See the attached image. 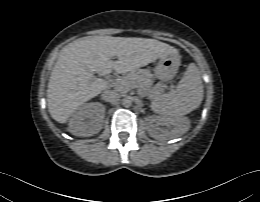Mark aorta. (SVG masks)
I'll return each mask as SVG.
<instances>
[{
	"mask_svg": "<svg viewBox=\"0 0 260 202\" xmlns=\"http://www.w3.org/2000/svg\"><path fill=\"white\" fill-rule=\"evenodd\" d=\"M122 105L124 107H130L132 105V98L130 96H126L122 99Z\"/></svg>",
	"mask_w": 260,
	"mask_h": 202,
	"instance_id": "762f6f07",
	"label": "aorta"
}]
</instances>
